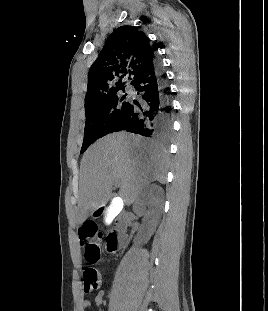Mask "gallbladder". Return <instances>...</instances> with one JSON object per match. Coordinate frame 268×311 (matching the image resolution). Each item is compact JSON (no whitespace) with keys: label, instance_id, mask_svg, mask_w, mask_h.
<instances>
[{"label":"gallbladder","instance_id":"obj_1","mask_svg":"<svg viewBox=\"0 0 268 311\" xmlns=\"http://www.w3.org/2000/svg\"><path fill=\"white\" fill-rule=\"evenodd\" d=\"M125 204L124 199H111L110 202L106 203V215L105 218L106 224H109V221L115 220L116 216H118V213L121 212V208H123Z\"/></svg>","mask_w":268,"mask_h":311}]
</instances>
